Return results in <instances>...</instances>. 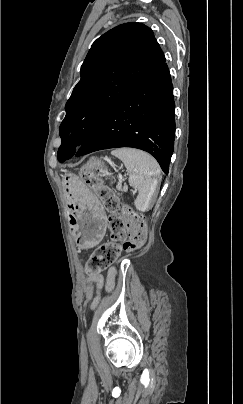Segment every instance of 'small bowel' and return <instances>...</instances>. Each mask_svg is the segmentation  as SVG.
<instances>
[{
	"label": "small bowel",
	"mask_w": 243,
	"mask_h": 404,
	"mask_svg": "<svg viewBox=\"0 0 243 404\" xmlns=\"http://www.w3.org/2000/svg\"><path fill=\"white\" fill-rule=\"evenodd\" d=\"M115 275H116V270H115V268H110V269L108 270V274H107V278H106V285H107V287H108L109 289H111V288L113 287ZM95 281H96L98 287H101L102 284H103V282H104V279H103L102 276H98V277L95 279Z\"/></svg>",
	"instance_id": "obj_1"
}]
</instances>
